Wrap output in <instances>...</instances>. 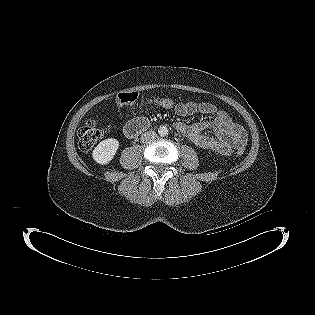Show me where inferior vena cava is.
I'll use <instances>...</instances> for the list:
<instances>
[{"label":"inferior vena cava","mask_w":315,"mask_h":315,"mask_svg":"<svg viewBox=\"0 0 315 315\" xmlns=\"http://www.w3.org/2000/svg\"><path fill=\"white\" fill-rule=\"evenodd\" d=\"M157 138V134L155 131H147L141 135V142L148 143Z\"/></svg>","instance_id":"obj_1"}]
</instances>
